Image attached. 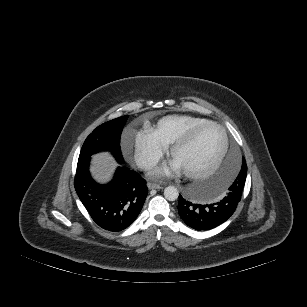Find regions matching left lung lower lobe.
<instances>
[{
    "label": "left lung lower lobe",
    "mask_w": 307,
    "mask_h": 307,
    "mask_svg": "<svg viewBox=\"0 0 307 307\" xmlns=\"http://www.w3.org/2000/svg\"><path fill=\"white\" fill-rule=\"evenodd\" d=\"M241 196L242 194L238 193V191L229 190L219 202L203 205L191 202L189 199L179 195L178 212L189 227L198 231L210 230L224 223L232 216L241 200Z\"/></svg>",
    "instance_id": "1"
}]
</instances>
